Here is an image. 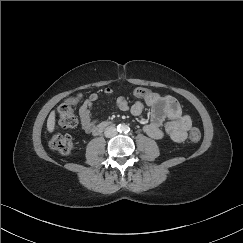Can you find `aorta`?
Segmentation results:
<instances>
[{
    "label": "aorta",
    "instance_id": "aorta-1",
    "mask_svg": "<svg viewBox=\"0 0 243 243\" xmlns=\"http://www.w3.org/2000/svg\"><path fill=\"white\" fill-rule=\"evenodd\" d=\"M117 129H118L119 132H125V131H127V126L126 125H119Z\"/></svg>",
    "mask_w": 243,
    "mask_h": 243
}]
</instances>
